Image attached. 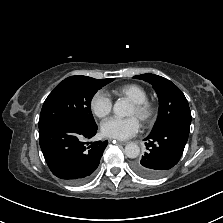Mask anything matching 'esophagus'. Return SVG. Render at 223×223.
I'll list each match as a JSON object with an SVG mask.
<instances>
[{
    "mask_svg": "<svg viewBox=\"0 0 223 223\" xmlns=\"http://www.w3.org/2000/svg\"><path fill=\"white\" fill-rule=\"evenodd\" d=\"M110 141H113V142L115 141V143L117 142V143L122 144V145H125L127 143V141H120V140H118V141L110 140Z\"/></svg>",
    "mask_w": 223,
    "mask_h": 223,
    "instance_id": "obj_1",
    "label": "esophagus"
}]
</instances>
